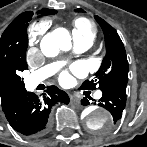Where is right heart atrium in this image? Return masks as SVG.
Returning <instances> with one entry per match:
<instances>
[{
    "mask_svg": "<svg viewBox=\"0 0 147 147\" xmlns=\"http://www.w3.org/2000/svg\"><path fill=\"white\" fill-rule=\"evenodd\" d=\"M42 33H43V29L41 26L39 25H36V26H33L31 28V33H30V37L31 39L33 40V43L36 44L38 43L39 39L41 38L42 36ZM36 48L35 46L33 45L32 47V51H34Z\"/></svg>",
    "mask_w": 147,
    "mask_h": 147,
    "instance_id": "1",
    "label": "right heart atrium"
}]
</instances>
